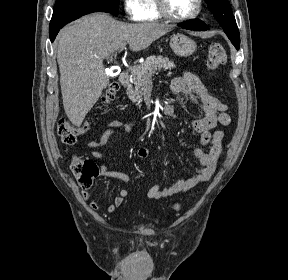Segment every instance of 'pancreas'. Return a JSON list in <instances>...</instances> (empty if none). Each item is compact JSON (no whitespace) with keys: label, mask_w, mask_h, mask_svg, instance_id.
<instances>
[{"label":"pancreas","mask_w":288,"mask_h":280,"mask_svg":"<svg viewBox=\"0 0 288 280\" xmlns=\"http://www.w3.org/2000/svg\"><path fill=\"white\" fill-rule=\"evenodd\" d=\"M175 65L173 61L163 56H150L145 62L133 68L132 82L134 86L127 89V94L132 102H137L141 107L143 87L151 82V76L161 69H172Z\"/></svg>","instance_id":"obj_1"}]
</instances>
